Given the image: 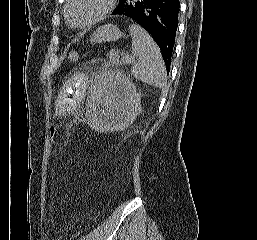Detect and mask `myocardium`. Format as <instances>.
Instances as JSON below:
<instances>
[{"label":"myocardium","instance_id":"myocardium-1","mask_svg":"<svg viewBox=\"0 0 257 240\" xmlns=\"http://www.w3.org/2000/svg\"><path fill=\"white\" fill-rule=\"evenodd\" d=\"M72 1L73 0H66V3L64 5V16H65L69 26L76 28V29H84V28L90 27L93 24L99 22L113 9L114 4H115V0H106L104 7L94 17H92L91 19H89L88 21H86L82 24H76L71 21L70 16H69V6Z\"/></svg>","mask_w":257,"mask_h":240}]
</instances>
